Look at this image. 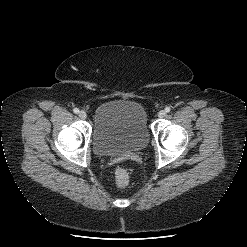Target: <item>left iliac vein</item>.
<instances>
[{"mask_svg": "<svg viewBox=\"0 0 247 247\" xmlns=\"http://www.w3.org/2000/svg\"><path fill=\"white\" fill-rule=\"evenodd\" d=\"M165 116H166V111L161 110V111L158 112V117L159 118H164Z\"/></svg>", "mask_w": 247, "mask_h": 247, "instance_id": "4c4485c4", "label": "left iliac vein"}]
</instances>
